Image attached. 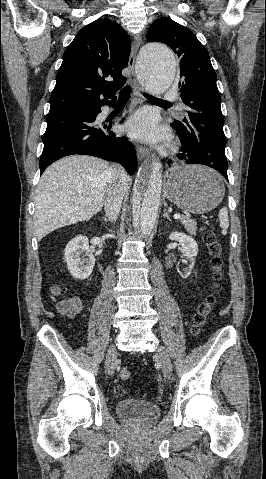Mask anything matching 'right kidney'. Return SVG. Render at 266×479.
<instances>
[{"mask_svg":"<svg viewBox=\"0 0 266 479\" xmlns=\"http://www.w3.org/2000/svg\"><path fill=\"white\" fill-rule=\"evenodd\" d=\"M84 252L87 258L81 259L80 256ZM64 259L68 270L75 279H87L95 265V258L90 250L88 238L78 236L72 239L64 249Z\"/></svg>","mask_w":266,"mask_h":479,"instance_id":"obj_1","label":"right kidney"}]
</instances>
